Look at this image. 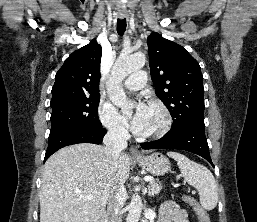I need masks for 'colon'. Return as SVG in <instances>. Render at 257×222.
I'll use <instances>...</instances> for the list:
<instances>
[{"mask_svg": "<svg viewBox=\"0 0 257 222\" xmlns=\"http://www.w3.org/2000/svg\"><path fill=\"white\" fill-rule=\"evenodd\" d=\"M184 200L194 207L199 222H210L208 213L201 206H199L192 197L184 196Z\"/></svg>", "mask_w": 257, "mask_h": 222, "instance_id": "colon-1", "label": "colon"}]
</instances>
